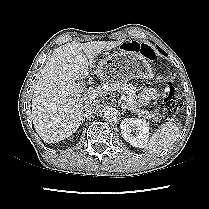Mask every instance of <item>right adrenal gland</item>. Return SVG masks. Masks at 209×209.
<instances>
[{
	"label": "right adrenal gland",
	"mask_w": 209,
	"mask_h": 209,
	"mask_svg": "<svg viewBox=\"0 0 209 209\" xmlns=\"http://www.w3.org/2000/svg\"><path fill=\"white\" fill-rule=\"evenodd\" d=\"M85 118L90 119L91 118V115L90 114H84L83 115V121L85 120Z\"/></svg>",
	"instance_id": "1"
}]
</instances>
